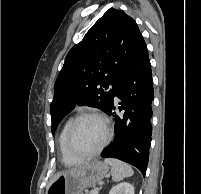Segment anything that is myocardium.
<instances>
[{"label": "myocardium", "mask_w": 201, "mask_h": 194, "mask_svg": "<svg viewBox=\"0 0 201 194\" xmlns=\"http://www.w3.org/2000/svg\"><path fill=\"white\" fill-rule=\"evenodd\" d=\"M85 118H96V119L100 120L104 124L105 133H106L104 141L99 146V148L88 154H83V153L77 152L74 149L73 142H72L74 131H75L77 124ZM111 135H112V133H111V127H110L109 121L107 120V118L104 115H102L98 112H92V111L83 112V113H80L79 115H77L74 119H72V121L68 127V130L66 133V138H65L66 150L73 158H75L77 160L82 161V160L92 159V158L98 156L104 150V148L109 144V142L111 140Z\"/></svg>", "instance_id": "myocardium-1"}]
</instances>
